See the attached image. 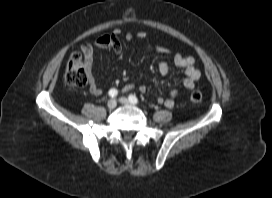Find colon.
<instances>
[{
    "instance_id": "obj_1",
    "label": "colon",
    "mask_w": 272,
    "mask_h": 198,
    "mask_svg": "<svg viewBox=\"0 0 272 198\" xmlns=\"http://www.w3.org/2000/svg\"><path fill=\"white\" fill-rule=\"evenodd\" d=\"M64 79L67 85L71 87H83L87 84L88 76L86 71V59L80 52H73L67 63ZM202 100V94L194 91L190 94V101L193 104H199Z\"/></svg>"
}]
</instances>
